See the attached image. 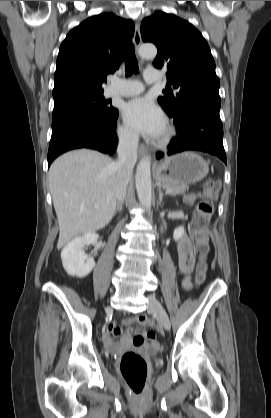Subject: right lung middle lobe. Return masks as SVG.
<instances>
[{"mask_svg": "<svg viewBox=\"0 0 271 418\" xmlns=\"http://www.w3.org/2000/svg\"><path fill=\"white\" fill-rule=\"evenodd\" d=\"M117 109L109 106V101L103 97V92L95 94L73 95L54 101L52 124L68 118L86 115H115Z\"/></svg>", "mask_w": 271, "mask_h": 418, "instance_id": "obj_1", "label": "right lung middle lobe"}]
</instances>
